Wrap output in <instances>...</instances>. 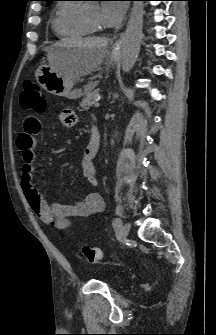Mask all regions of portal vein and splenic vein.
<instances>
[{"instance_id": "1", "label": "portal vein and splenic vein", "mask_w": 216, "mask_h": 335, "mask_svg": "<svg viewBox=\"0 0 216 335\" xmlns=\"http://www.w3.org/2000/svg\"><path fill=\"white\" fill-rule=\"evenodd\" d=\"M100 98L98 97L97 99H96V103L94 104V106L95 107H99L100 106Z\"/></svg>"}]
</instances>
